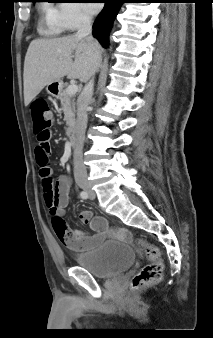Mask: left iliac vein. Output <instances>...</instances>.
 <instances>
[{
	"label": "left iliac vein",
	"mask_w": 213,
	"mask_h": 338,
	"mask_svg": "<svg viewBox=\"0 0 213 338\" xmlns=\"http://www.w3.org/2000/svg\"><path fill=\"white\" fill-rule=\"evenodd\" d=\"M88 193H89V198L90 199H94L95 198V193L92 191V190H88Z\"/></svg>",
	"instance_id": "4c4485c4"
}]
</instances>
